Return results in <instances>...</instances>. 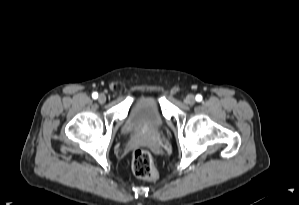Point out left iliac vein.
<instances>
[{"label":"left iliac vein","mask_w":299,"mask_h":205,"mask_svg":"<svg viewBox=\"0 0 299 205\" xmlns=\"http://www.w3.org/2000/svg\"><path fill=\"white\" fill-rule=\"evenodd\" d=\"M196 102V99H195V96L192 95V94H188L186 97H185V103L188 104V105H193L195 104Z\"/></svg>","instance_id":"obj_1"}]
</instances>
